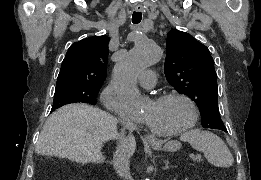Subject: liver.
I'll return each mask as SVG.
<instances>
[{
    "label": "liver",
    "instance_id": "1",
    "mask_svg": "<svg viewBox=\"0 0 261 180\" xmlns=\"http://www.w3.org/2000/svg\"><path fill=\"white\" fill-rule=\"evenodd\" d=\"M117 118L86 104H69L53 112L39 136L37 154L67 158L77 164H102V148L110 140H118L129 156L136 150L134 136L119 134Z\"/></svg>",
    "mask_w": 261,
    "mask_h": 180
}]
</instances>
